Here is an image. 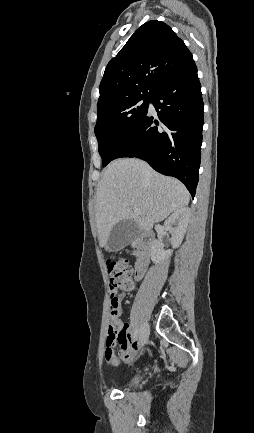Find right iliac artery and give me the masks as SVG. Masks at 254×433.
Segmentation results:
<instances>
[{
  "label": "right iliac artery",
  "instance_id": "1",
  "mask_svg": "<svg viewBox=\"0 0 254 433\" xmlns=\"http://www.w3.org/2000/svg\"><path fill=\"white\" fill-rule=\"evenodd\" d=\"M138 334H139V330H138V329H136V332H135V337H137V336H138Z\"/></svg>",
  "mask_w": 254,
  "mask_h": 433
}]
</instances>
